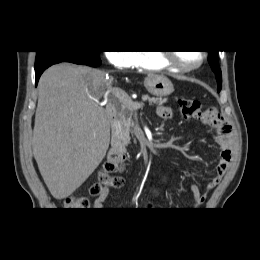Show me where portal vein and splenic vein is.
<instances>
[{"instance_id": "portal-vein-and-splenic-vein-1", "label": "portal vein and splenic vein", "mask_w": 260, "mask_h": 260, "mask_svg": "<svg viewBox=\"0 0 260 260\" xmlns=\"http://www.w3.org/2000/svg\"><path fill=\"white\" fill-rule=\"evenodd\" d=\"M111 93L119 99L123 104L128 106L129 108L133 110L140 109L144 106V103L142 102H133L132 99L128 96V94L119 88H113L111 89Z\"/></svg>"}]
</instances>
